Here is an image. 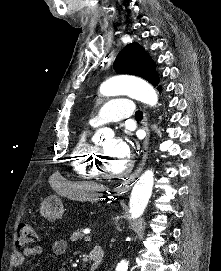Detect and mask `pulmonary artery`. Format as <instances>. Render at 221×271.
<instances>
[{"instance_id": "pulmonary-artery-1", "label": "pulmonary artery", "mask_w": 221, "mask_h": 271, "mask_svg": "<svg viewBox=\"0 0 221 271\" xmlns=\"http://www.w3.org/2000/svg\"><path fill=\"white\" fill-rule=\"evenodd\" d=\"M114 102H107V107H101V112H98L96 122H88V127H103V122H124V117H133L131 112V102L128 98H114ZM85 138H95V133H85Z\"/></svg>"}]
</instances>
